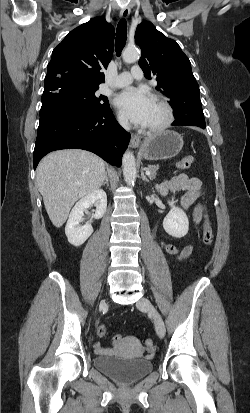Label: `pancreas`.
Here are the masks:
<instances>
[{
    "label": "pancreas",
    "mask_w": 250,
    "mask_h": 413,
    "mask_svg": "<svg viewBox=\"0 0 250 413\" xmlns=\"http://www.w3.org/2000/svg\"><path fill=\"white\" fill-rule=\"evenodd\" d=\"M147 169L151 172L149 175L150 179H154L157 174L158 166H148Z\"/></svg>",
    "instance_id": "pancreas-1"
}]
</instances>
